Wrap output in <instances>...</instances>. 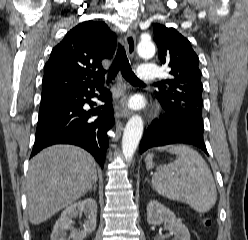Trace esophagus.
I'll return each instance as SVG.
<instances>
[{"label": "esophagus", "mask_w": 248, "mask_h": 240, "mask_svg": "<svg viewBox=\"0 0 248 240\" xmlns=\"http://www.w3.org/2000/svg\"><path fill=\"white\" fill-rule=\"evenodd\" d=\"M127 54L132 57L136 50V38L134 33L129 30L124 37ZM119 89L115 99V115L116 117L127 118L131 115V111L126 106L127 95L125 92V83L122 79L119 80Z\"/></svg>", "instance_id": "1"}]
</instances>
